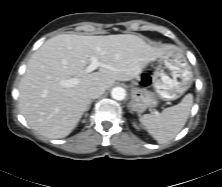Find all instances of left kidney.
I'll list each match as a JSON object with an SVG mask.
<instances>
[{
  "instance_id": "left-kidney-1",
  "label": "left kidney",
  "mask_w": 222,
  "mask_h": 187,
  "mask_svg": "<svg viewBox=\"0 0 222 187\" xmlns=\"http://www.w3.org/2000/svg\"><path fill=\"white\" fill-rule=\"evenodd\" d=\"M134 126H135L136 128H138L137 125H136L135 123H134Z\"/></svg>"
}]
</instances>
